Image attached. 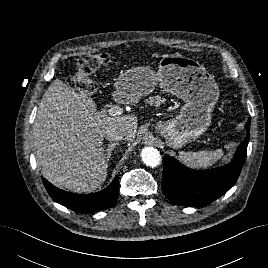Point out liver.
I'll use <instances>...</instances> for the list:
<instances>
[{"label": "liver", "mask_w": 268, "mask_h": 268, "mask_svg": "<svg viewBox=\"0 0 268 268\" xmlns=\"http://www.w3.org/2000/svg\"><path fill=\"white\" fill-rule=\"evenodd\" d=\"M137 125L136 116L110 117L96 110L92 98L54 80L39 103L33 126L34 154L42 175L74 192L99 188L108 174L102 147L105 130L120 128L132 141Z\"/></svg>", "instance_id": "obj_1"}]
</instances>
